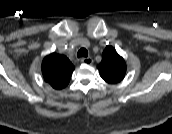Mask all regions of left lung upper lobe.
Wrapping results in <instances>:
<instances>
[{
    "instance_id": "1",
    "label": "left lung upper lobe",
    "mask_w": 172,
    "mask_h": 134,
    "mask_svg": "<svg viewBox=\"0 0 172 134\" xmlns=\"http://www.w3.org/2000/svg\"><path fill=\"white\" fill-rule=\"evenodd\" d=\"M100 76L108 83L120 82L126 73V63L112 46H108L102 54V61L97 66Z\"/></svg>"
}]
</instances>
